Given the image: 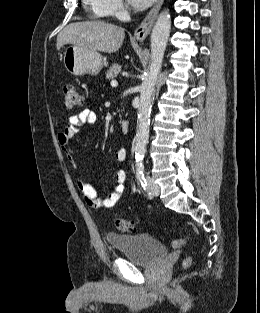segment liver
I'll return each instance as SVG.
<instances>
[{
	"label": "liver",
	"mask_w": 260,
	"mask_h": 313,
	"mask_svg": "<svg viewBox=\"0 0 260 313\" xmlns=\"http://www.w3.org/2000/svg\"><path fill=\"white\" fill-rule=\"evenodd\" d=\"M124 28L104 21H82L67 25L57 36V50L65 44L114 53L124 40Z\"/></svg>",
	"instance_id": "1"
}]
</instances>
